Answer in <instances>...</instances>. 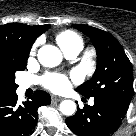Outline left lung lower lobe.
Here are the masks:
<instances>
[{"instance_id": "left-lung-lower-lobe-1", "label": "left lung lower lobe", "mask_w": 136, "mask_h": 136, "mask_svg": "<svg viewBox=\"0 0 136 136\" xmlns=\"http://www.w3.org/2000/svg\"><path fill=\"white\" fill-rule=\"evenodd\" d=\"M128 100L95 97L94 105H84L74 116L67 118V126L80 136H109L120 125L128 106Z\"/></svg>"}]
</instances>
